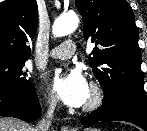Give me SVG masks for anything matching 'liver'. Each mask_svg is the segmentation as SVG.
<instances>
[{"instance_id":"1","label":"liver","mask_w":147,"mask_h":131,"mask_svg":"<svg viewBox=\"0 0 147 131\" xmlns=\"http://www.w3.org/2000/svg\"><path fill=\"white\" fill-rule=\"evenodd\" d=\"M0 131H35L27 123L15 118L0 117Z\"/></svg>"}]
</instances>
